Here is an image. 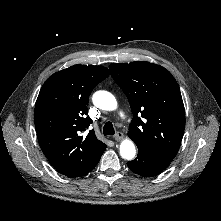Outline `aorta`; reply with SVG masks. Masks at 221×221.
I'll return each mask as SVG.
<instances>
[{"label": "aorta", "mask_w": 221, "mask_h": 221, "mask_svg": "<svg viewBox=\"0 0 221 221\" xmlns=\"http://www.w3.org/2000/svg\"><path fill=\"white\" fill-rule=\"evenodd\" d=\"M93 104L106 111H113L117 108L115 97L108 91L100 90L93 94ZM120 155L126 160H132L136 155L134 143L130 139H125L120 144Z\"/></svg>", "instance_id": "762f6f07"}]
</instances>
